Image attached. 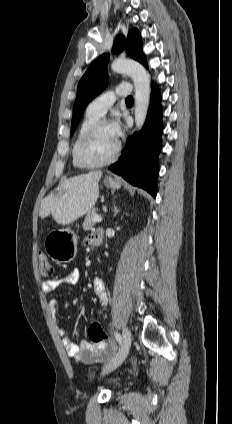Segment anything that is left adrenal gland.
I'll list each match as a JSON object with an SVG mask.
<instances>
[{
    "instance_id": "obj_1",
    "label": "left adrenal gland",
    "mask_w": 232,
    "mask_h": 424,
    "mask_svg": "<svg viewBox=\"0 0 232 424\" xmlns=\"http://www.w3.org/2000/svg\"><path fill=\"white\" fill-rule=\"evenodd\" d=\"M119 213V209L115 206L114 207V217H116Z\"/></svg>"
}]
</instances>
